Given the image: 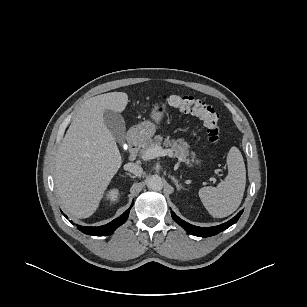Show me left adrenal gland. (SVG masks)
Wrapping results in <instances>:
<instances>
[{"instance_id": "left-adrenal-gland-1", "label": "left adrenal gland", "mask_w": 307, "mask_h": 307, "mask_svg": "<svg viewBox=\"0 0 307 307\" xmlns=\"http://www.w3.org/2000/svg\"><path fill=\"white\" fill-rule=\"evenodd\" d=\"M170 178L175 183L178 190H185V188L179 184L178 180L174 176H170Z\"/></svg>"}]
</instances>
